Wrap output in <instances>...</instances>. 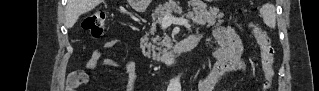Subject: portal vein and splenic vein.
<instances>
[{
  "label": "portal vein and splenic vein",
  "instance_id": "obj_1",
  "mask_svg": "<svg viewBox=\"0 0 319 91\" xmlns=\"http://www.w3.org/2000/svg\"><path fill=\"white\" fill-rule=\"evenodd\" d=\"M163 21L169 23V24H182V25H187L189 23L188 20L185 19H178L174 17L172 14H165L163 17Z\"/></svg>",
  "mask_w": 319,
  "mask_h": 91
}]
</instances>
